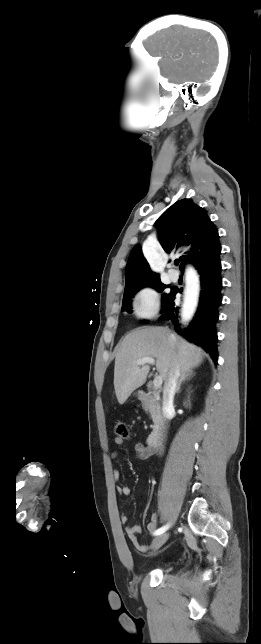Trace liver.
I'll use <instances>...</instances> for the list:
<instances>
[{
    "mask_svg": "<svg viewBox=\"0 0 261 644\" xmlns=\"http://www.w3.org/2000/svg\"><path fill=\"white\" fill-rule=\"evenodd\" d=\"M144 357L156 358V368L164 381L176 361L180 372L198 367L204 358L201 348L163 327H142L129 333L121 342L115 357L114 388L119 404L142 386L150 366L138 365Z\"/></svg>",
    "mask_w": 261,
    "mask_h": 644,
    "instance_id": "obj_1",
    "label": "liver"
}]
</instances>
